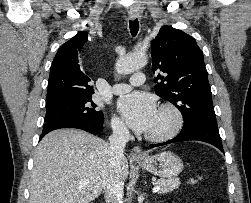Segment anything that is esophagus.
Wrapping results in <instances>:
<instances>
[{
	"mask_svg": "<svg viewBox=\"0 0 251 203\" xmlns=\"http://www.w3.org/2000/svg\"><path fill=\"white\" fill-rule=\"evenodd\" d=\"M129 17L130 19L134 20L139 17V12L137 10L131 9L129 11ZM130 156L132 159H135V160H141L145 158V155L139 146H134L132 148Z\"/></svg>",
	"mask_w": 251,
	"mask_h": 203,
	"instance_id": "1",
	"label": "esophagus"
}]
</instances>
